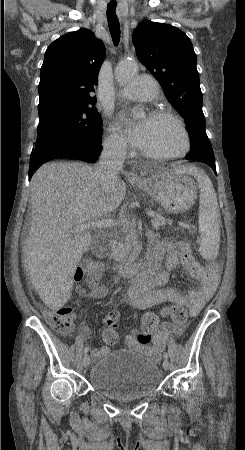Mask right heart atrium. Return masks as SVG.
<instances>
[{
    "instance_id": "d8ad5b80",
    "label": "right heart atrium",
    "mask_w": 245,
    "mask_h": 450,
    "mask_svg": "<svg viewBox=\"0 0 245 450\" xmlns=\"http://www.w3.org/2000/svg\"><path fill=\"white\" fill-rule=\"evenodd\" d=\"M106 148L111 152L120 155L126 151L125 139L115 131H111L105 141Z\"/></svg>"
}]
</instances>
